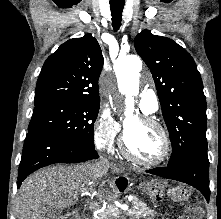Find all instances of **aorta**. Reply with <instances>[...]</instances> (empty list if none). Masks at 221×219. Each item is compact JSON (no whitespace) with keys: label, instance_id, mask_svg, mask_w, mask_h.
I'll return each mask as SVG.
<instances>
[{"label":"aorta","instance_id":"aorta-1","mask_svg":"<svg viewBox=\"0 0 221 219\" xmlns=\"http://www.w3.org/2000/svg\"><path fill=\"white\" fill-rule=\"evenodd\" d=\"M142 69V61L135 55L120 58L114 64V71L118 80V88L121 94L126 96L125 99V115L132 116L134 111V99L138 91L137 77ZM105 92L112 94L114 86L109 77L105 79Z\"/></svg>","mask_w":221,"mask_h":219}]
</instances>
